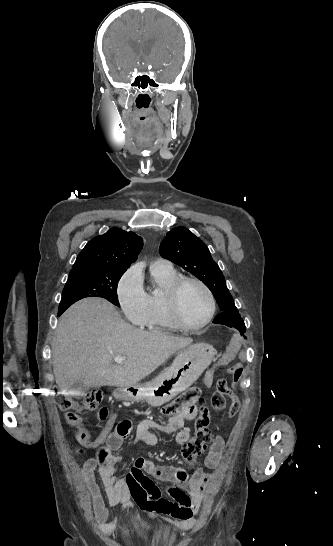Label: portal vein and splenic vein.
<instances>
[{"label":"portal vein and splenic vein","instance_id":"18ae733b","mask_svg":"<svg viewBox=\"0 0 333 546\" xmlns=\"http://www.w3.org/2000/svg\"><path fill=\"white\" fill-rule=\"evenodd\" d=\"M125 360H126V357L119 356V355H115V356H114V361H115L116 363H122V362H124Z\"/></svg>","mask_w":333,"mask_h":546}]
</instances>
